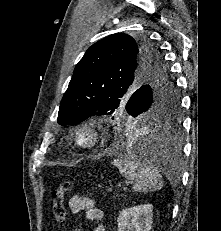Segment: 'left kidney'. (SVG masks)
<instances>
[{
    "mask_svg": "<svg viewBox=\"0 0 221 231\" xmlns=\"http://www.w3.org/2000/svg\"><path fill=\"white\" fill-rule=\"evenodd\" d=\"M153 220L151 204L124 209L118 219V231H150Z\"/></svg>",
    "mask_w": 221,
    "mask_h": 231,
    "instance_id": "obj_1",
    "label": "left kidney"
}]
</instances>
